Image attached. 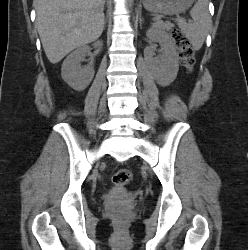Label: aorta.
I'll return each instance as SVG.
<instances>
[{
    "label": "aorta",
    "mask_w": 248,
    "mask_h": 250,
    "mask_svg": "<svg viewBox=\"0 0 248 250\" xmlns=\"http://www.w3.org/2000/svg\"><path fill=\"white\" fill-rule=\"evenodd\" d=\"M128 4H129V6L131 7L132 4H133V0H129Z\"/></svg>",
    "instance_id": "762f6f07"
}]
</instances>
